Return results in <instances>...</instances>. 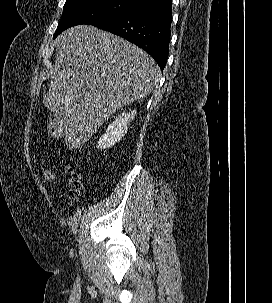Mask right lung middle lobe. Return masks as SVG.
Here are the masks:
<instances>
[{
    "mask_svg": "<svg viewBox=\"0 0 272 303\" xmlns=\"http://www.w3.org/2000/svg\"><path fill=\"white\" fill-rule=\"evenodd\" d=\"M139 7L130 0H67L54 38L75 25L94 24Z\"/></svg>",
    "mask_w": 272,
    "mask_h": 303,
    "instance_id": "right-lung-middle-lobe-1",
    "label": "right lung middle lobe"
}]
</instances>
